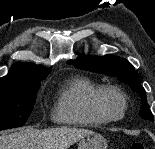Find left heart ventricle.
<instances>
[{
    "label": "left heart ventricle",
    "mask_w": 155,
    "mask_h": 149,
    "mask_svg": "<svg viewBox=\"0 0 155 149\" xmlns=\"http://www.w3.org/2000/svg\"><path fill=\"white\" fill-rule=\"evenodd\" d=\"M104 106L106 110L113 116H118L122 112V102L114 95H107L104 99Z\"/></svg>",
    "instance_id": "1"
}]
</instances>
